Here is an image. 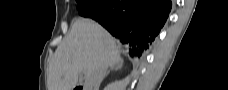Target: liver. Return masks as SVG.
Returning a JSON list of instances; mask_svg holds the SVG:
<instances>
[{
  "label": "liver",
  "instance_id": "obj_1",
  "mask_svg": "<svg viewBox=\"0 0 228 90\" xmlns=\"http://www.w3.org/2000/svg\"><path fill=\"white\" fill-rule=\"evenodd\" d=\"M120 61L114 38L96 22L79 18L50 61L48 90H73L80 72L87 78L99 63L112 67Z\"/></svg>",
  "mask_w": 228,
  "mask_h": 90
}]
</instances>
